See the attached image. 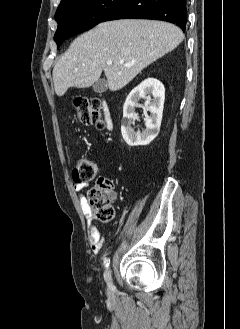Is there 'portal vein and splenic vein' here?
<instances>
[{
  "instance_id": "portal-vein-and-splenic-vein-1",
  "label": "portal vein and splenic vein",
  "mask_w": 240,
  "mask_h": 329,
  "mask_svg": "<svg viewBox=\"0 0 240 329\" xmlns=\"http://www.w3.org/2000/svg\"><path fill=\"white\" fill-rule=\"evenodd\" d=\"M107 65H112V61L111 60H108L107 62ZM125 67H131L130 64H124Z\"/></svg>"
}]
</instances>
